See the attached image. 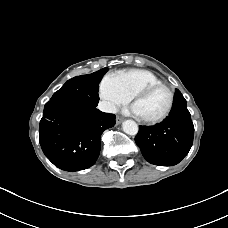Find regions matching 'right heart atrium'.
I'll return each instance as SVG.
<instances>
[{"label": "right heart atrium", "instance_id": "1", "mask_svg": "<svg viewBox=\"0 0 228 228\" xmlns=\"http://www.w3.org/2000/svg\"><path fill=\"white\" fill-rule=\"evenodd\" d=\"M101 104L106 112L113 113L120 106L126 105L131 100L129 94L122 87L116 74H106L99 84Z\"/></svg>", "mask_w": 228, "mask_h": 228}]
</instances>
